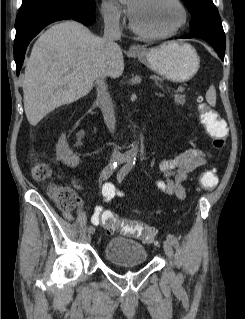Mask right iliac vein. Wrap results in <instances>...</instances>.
Instances as JSON below:
<instances>
[{
    "mask_svg": "<svg viewBox=\"0 0 245 319\" xmlns=\"http://www.w3.org/2000/svg\"><path fill=\"white\" fill-rule=\"evenodd\" d=\"M87 240H88V241L91 240V235H87Z\"/></svg>",
    "mask_w": 245,
    "mask_h": 319,
    "instance_id": "1",
    "label": "right iliac vein"
}]
</instances>
